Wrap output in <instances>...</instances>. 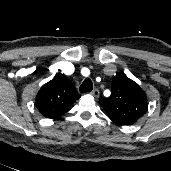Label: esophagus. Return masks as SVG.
Segmentation results:
<instances>
[{
	"mask_svg": "<svg viewBox=\"0 0 171 171\" xmlns=\"http://www.w3.org/2000/svg\"><path fill=\"white\" fill-rule=\"evenodd\" d=\"M90 94L92 96H94L95 98H98L99 97V90L98 89H94L90 92Z\"/></svg>",
	"mask_w": 171,
	"mask_h": 171,
	"instance_id": "obj_1",
	"label": "esophagus"
}]
</instances>
